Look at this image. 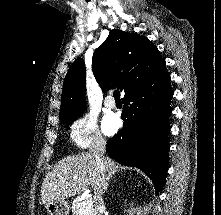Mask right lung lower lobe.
I'll return each instance as SVG.
<instances>
[{"mask_svg": "<svg viewBox=\"0 0 221 215\" xmlns=\"http://www.w3.org/2000/svg\"><path fill=\"white\" fill-rule=\"evenodd\" d=\"M172 96L167 69L126 93L121 115L123 129L106 146L109 157L146 172L157 193L162 189L167 173Z\"/></svg>", "mask_w": 221, "mask_h": 215, "instance_id": "98d812e1", "label": "right lung lower lobe"}]
</instances>
